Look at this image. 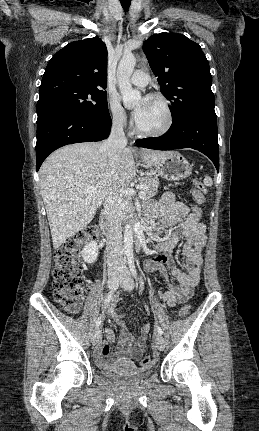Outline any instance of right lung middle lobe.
<instances>
[{"instance_id": "1", "label": "right lung middle lobe", "mask_w": 259, "mask_h": 431, "mask_svg": "<svg viewBox=\"0 0 259 431\" xmlns=\"http://www.w3.org/2000/svg\"><path fill=\"white\" fill-rule=\"evenodd\" d=\"M38 117L58 109H71L94 116L109 115L107 93L99 88L53 82L39 91Z\"/></svg>"}]
</instances>
